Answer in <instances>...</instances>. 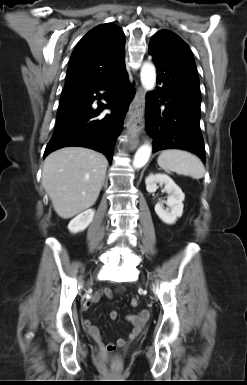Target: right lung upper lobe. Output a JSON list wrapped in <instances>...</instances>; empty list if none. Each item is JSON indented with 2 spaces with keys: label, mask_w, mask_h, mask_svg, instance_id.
Segmentation results:
<instances>
[{
  "label": "right lung upper lobe",
  "mask_w": 247,
  "mask_h": 385,
  "mask_svg": "<svg viewBox=\"0 0 247 385\" xmlns=\"http://www.w3.org/2000/svg\"><path fill=\"white\" fill-rule=\"evenodd\" d=\"M125 35L114 24L90 30L75 47L63 92L87 91L107 82L125 67Z\"/></svg>",
  "instance_id": "obj_1"
}]
</instances>
